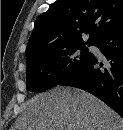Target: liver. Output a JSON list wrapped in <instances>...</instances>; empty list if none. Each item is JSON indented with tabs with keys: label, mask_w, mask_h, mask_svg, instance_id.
I'll return each instance as SVG.
<instances>
[{
	"label": "liver",
	"mask_w": 123,
	"mask_h": 130,
	"mask_svg": "<svg viewBox=\"0 0 123 130\" xmlns=\"http://www.w3.org/2000/svg\"><path fill=\"white\" fill-rule=\"evenodd\" d=\"M14 130H123V119L95 96L56 86L23 105Z\"/></svg>",
	"instance_id": "1"
}]
</instances>
